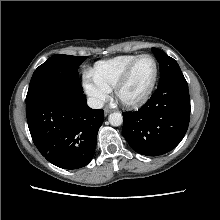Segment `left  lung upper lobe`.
<instances>
[{"mask_svg": "<svg viewBox=\"0 0 220 220\" xmlns=\"http://www.w3.org/2000/svg\"><path fill=\"white\" fill-rule=\"evenodd\" d=\"M152 51L160 66L161 77L159 85L165 83L168 80L183 77L178 63L173 58L169 57L160 49L152 48Z\"/></svg>", "mask_w": 220, "mask_h": 220, "instance_id": "obj_1", "label": "left lung upper lobe"}]
</instances>
